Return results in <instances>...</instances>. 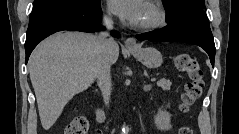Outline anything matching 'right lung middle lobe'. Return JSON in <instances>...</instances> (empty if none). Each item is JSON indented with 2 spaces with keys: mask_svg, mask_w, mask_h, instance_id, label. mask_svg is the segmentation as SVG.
<instances>
[{
  "mask_svg": "<svg viewBox=\"0 0 239 134\" xmlns=\"http://www.w3.org/2000/svg\"><path fill=\"white\" fill-rule=\"evenodd\" d=\"M54 1H57V0H34V7H33V11L34 10H37L39 9L40 7L50 3V2H54ZM80 2H83V3H99L100 0H78Z\"/></svg>",
  "mask_w": 239,
  "mask_h": 134,
  "instance_id": "dd1d6c3e",
  "label": "right lung middle lobe"
}]
</instances>
